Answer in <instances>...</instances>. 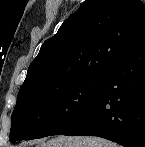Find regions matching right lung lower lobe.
Returning <instances> with one entry per match:
<instances>
[{
	"instance_id": "98d812e1",
	"label": "right lung lower lobe",
	"mask_w": 145,
	"mask_h": 147,
	"mask_svg": "<svg viewBox=\"0 0 145 147\" xmlns=\"http://www.w3.org/2000/svg\"><path fill=\"white\" fill-rule=\"evenodd\" d=\"M62 134L145 147V39L102 73L93 101Z\"/></svg>"
}]
</instances>
